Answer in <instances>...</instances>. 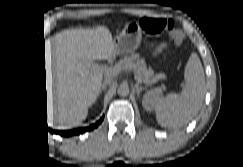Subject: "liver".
Returning <instances> with one entry per match:
<instances>
[{"mask_svg":"<svg viewBox=\"0 0 243 167\" xmlns=\"http://www.w3.org/2000/svg\"><path fill=\"white\" fill-rule=\"evenodd\" d=\"M115 42L109 29L68 31L50 39L41 53L49 124L77 126L87 116L102 85V71L93 60L110 59Z\"/></svg>","mask_w":243,"mask_h":167,"instance_id":"liver-1","label":"liver"}]
</instances>
